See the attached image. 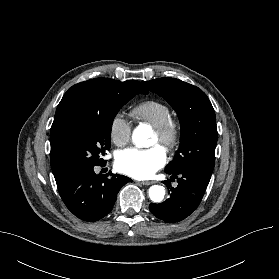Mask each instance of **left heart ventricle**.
I'll list each match as a JSON object with an SVG mask.
<instances>
[{
    "label": "left heart ventricle",
    "instance_id": "1",
    "mask_svg": "<svg viewBox=\"0 0 279 279\" xmlns=\"http://www.w3.org/2000/svg\"><path fill=\"white\" fill-rule=\"evenodd\" d=\"M158 144H160L159 138H158V136L154 133L153 136H152L151 145H152V146H155V145H158ZM160 145H161V144H160Z\"/></svg>",
    "mask_w": 279,
    "mask_h": 279
}]
</instances>
